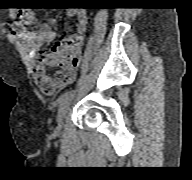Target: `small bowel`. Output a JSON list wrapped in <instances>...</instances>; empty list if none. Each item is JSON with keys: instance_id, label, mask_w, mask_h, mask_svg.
<instances>
[{"instance_id": "small-bowel-1", "label": "small bowel", "mask_w": 192, "mask_h": 180, "mask_svg": "<svg viewBox=\"0 0 192 180\" xmlns=\"http://www.w3.org/2000/svg\"><path fill=\"white\" fill-rule=\"evenodd\" d=\"M17 15L23 25H35L37 22L34 13L30 10H19ZM68 15L77 20L75 32L55 42L48 51H40V47L50 44L56 38V34L49 26L37 31H29L22 27L19 31L20 37L36 56V64L33 68L36 83L49 95L71 84L81 63V49L88 25L87 13L83 9H70ZM54 22L55 20H51V23ZM48 67H58L59 71L51 76L47 72Z\"/></svg>"}]
</instances>
